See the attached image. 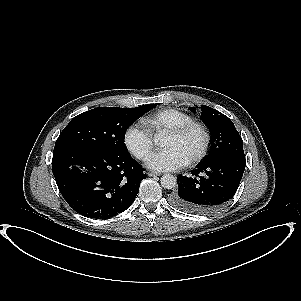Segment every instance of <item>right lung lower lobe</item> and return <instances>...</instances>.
<instances>
[{
	"label": "right lung lower lobe",
	"instance_id": "obj_1",
	"mask_svg": "<svg viewBox=\"0 0 301 301\" xmlns=\"http://www.w3.org/2000/svg\"><path fill=\"white\" fill-rule=\"evenodd\" d=\"M52 171L66 202L79 214L107 219L130 207L146 178L130 154L93 147L53 153Z\"/></svg>",
	"mask_w": 301,
	"mask_h": 301
}]
</instances>
